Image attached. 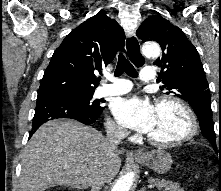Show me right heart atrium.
I'll return each instance as SVG.
<instances>
[{
  "label": "right heart atrium",
  "instance_id": "1",
  "mask_svg": "<svg viewBox=\"0 0 221 191\" xmlns=\"http://www.w3.org/2000/svg\"><path fill=\"white\" fill-rule=\"evenodd\" d=\"M106 127L111 135L119 138H126L128 136V131L114 119H107Z\"/></svg>",
  "mask_w": 221,
  "mask_h": 191
}]
</instances>
